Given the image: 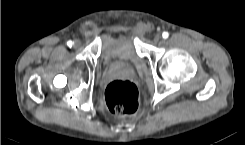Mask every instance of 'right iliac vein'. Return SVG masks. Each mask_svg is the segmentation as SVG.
<instances>
[{"label": "right iliac vein", "mask_w": 245, "mask_h": 145, "mask_svg": "<svg viewBox=\"0 0 245 145\" xmlns=\"http://www.w3.org/2000/svg\"><path fill=\"white\" fill-rule=\"evenodd\" d=\"M81 45V41L79 39L75 40L74 47L79 48Z\"/></svg>", "instance_id": "63e3f726"}]
</instances>
